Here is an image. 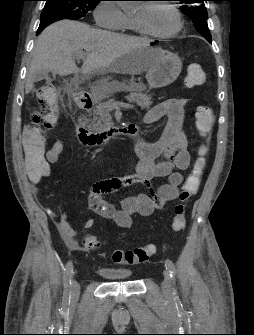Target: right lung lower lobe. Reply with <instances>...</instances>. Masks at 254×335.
<instances>
[{"label": "right lung lower lobe", "mask_w": 254, "mask_h": 335, "mask_svg": "<svg viewBox=\"0 0 254 335\" xmlns=\"http://www.w3.org/2000/svg\"><path fill=\"white\" fill-rule=\"evenodd\" d=\"M59 20H62V19H59V18H51V19H46V20H42L40 22V25H39V28L37 30V35L41 33V31L47 27L48 25L56 22V21H59Z\"/></svg>", "instance_id": "obj_1"}]
</instances>
